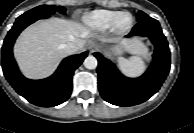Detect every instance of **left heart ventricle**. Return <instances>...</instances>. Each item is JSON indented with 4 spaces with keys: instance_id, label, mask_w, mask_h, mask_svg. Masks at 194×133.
<instances>
[{
    "instance_id": "obj_1",
    "label": "left heart ventricle",
    "mask_w": 194,
    "mask_h": 133,
    "mask_svg": "<svg viewBox=\"0 0 194 133\" xmlns=\"http://www.w3.org/2000/svg\"><path fill=\"white\" fill-rule=\"evenodd\" d=\"M130 22V16L129 15H124L122 16L121 20H120V25L121 26H127Z\"/></svg>"
}]
</instances>
